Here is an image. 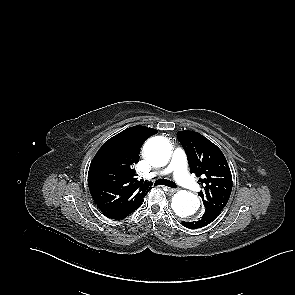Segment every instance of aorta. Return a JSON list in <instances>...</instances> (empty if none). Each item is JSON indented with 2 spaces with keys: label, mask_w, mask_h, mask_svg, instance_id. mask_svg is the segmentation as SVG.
Returning <instances> with one entry per match:
<instances>
[{
  "label": "aorta",
  "mask_w": 295,
  "mask_h": 295,
  "mask_svg": "<svg viewBox=\"0 0 295 295\" xmlns=\"http://www.w3.org/2000/svg\"><path fill=\"white\" fill-rule=\"evenodd\" d=\"M144 154L150 164L163 167L167 165L171 156L170 143L164 137H152L145 143ZM171 207L183 220L193 221L199 218L200 201L192 192H177L172 198Z\"/></svg>",
  "instance_id": "aorta-1"
}]
</instances>
